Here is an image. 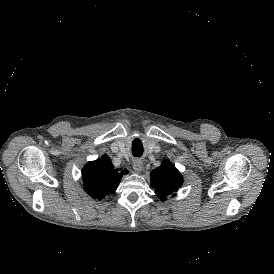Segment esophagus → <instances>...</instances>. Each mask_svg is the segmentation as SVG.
<instances>
[{"label": "esophagus", "mask_w": 274, "mask_h": 274, "mask_svg": "<svg viewBox=\"0 0 274 274\" xmlns=\"http://www.w3.org/2000/svg\"><path fill=\"white\" fill-rule=\"evenodd\" d=\"M132 166L137 173H140L143 169V162L141 160H134Z\"/></svg>", "instance_id": "obj_1"}]
</instances>
